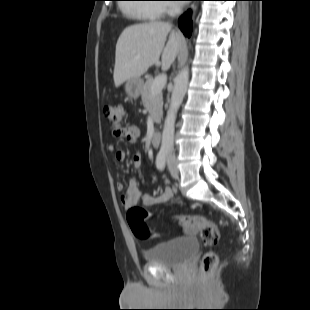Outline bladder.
<instances>
[{"label":"bladder","instance_id":"1","mask_svg":"<svg viewBox=\"0 0 310 310\" xmlns=\"http://www.w3.org/2000/svg\"><path fill=\"white\" fill-rule=\"evenodd\" d=\"M198 252L197 240L182 236L153 245L146 250L145 259L150 264L181 266L191 261Z\"/></svg>","mask_w":310,"mask_h":310}]
</instances>
